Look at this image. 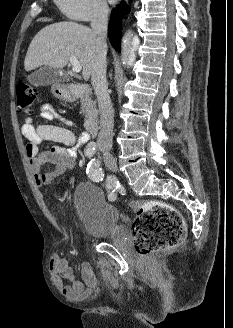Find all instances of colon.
I'll return each instance as SVG.
<instances>
[{"instance_id":"5ec220e1","label":"colon","mask_w":233,"mask_h":328,"mask_svg":"<svg viewBox=\"0 0 233 328\" xmlns=\"http://www.w3.org/2000/svg\"><path fill=\"white\" fill-rule=\"evenodd\" d=\"M17 105L20 111L30 112L38 93L27 82L16 84ZM133 243L137 253L148 256L177 246L186 235V223L173 206L160 201H146L134 205Z\"/></svg>"}]
</instances>
